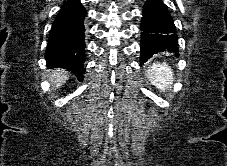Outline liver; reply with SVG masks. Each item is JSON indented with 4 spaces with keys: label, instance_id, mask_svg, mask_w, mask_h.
<instances>
[{
    "label": "liver",
    "instance_id": "1",
    "mask_svg": "<svg viewBox=\"0 0 227 166\" xmlns=\"http://www.w3.org/2000/svg\"><path fill=\"white\" fill-rule=\"evenodd\" d=\"M69 79V73L63 69H55L49 75V81L54 89H58Z\"/></svg>",
    "mask_w": 227,
    "mask_h": 166
}]
</instances>
